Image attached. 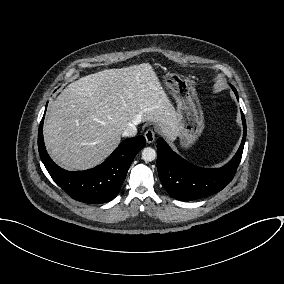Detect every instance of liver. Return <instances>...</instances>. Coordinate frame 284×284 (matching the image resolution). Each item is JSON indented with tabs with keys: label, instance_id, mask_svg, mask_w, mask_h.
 I'll return each instance as SVG.
<instances>
[{
	"label": "liver",
	"instance_id": "obj_1",
	"mask_svg": "<svg viewBox=\"0 0 284 284\" xmlns=\"http://www.w3.org/2000/svg\"><path fill=\"white\" fill-rule=\"evenodd\" d=\"M152 122L168 139L179 134L176 111L150 64L107 69L69 84L50 104L44 141L68 170L103 162L130 124Z\"/></svg>",
	"mask_w": 284,
	"mask_h": 284
}]
</instances>
